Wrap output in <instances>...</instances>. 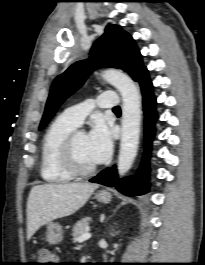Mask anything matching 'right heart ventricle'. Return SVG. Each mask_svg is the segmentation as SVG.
Returning a JSON list of instances; mask_svg holds the SVG:
<instances>
[{
  "mask_svg": "<svg viewBox=\"0 0 205 265\" xmlns=\"http://www.w3.org/2000/svg\"><path fill=\"white\" fill-rule=\"evenodd\" d=\"M76 127L60 115L47 128L42 140L40 162V174L46 182L61 184L73 179L62 162V151L67 137Z\"/></svg>",
  "mask_w": 205,
  "mask_h": 265,
  "instance_id": "1",
  "label": "right heart ventricle"
}]
</instances>
